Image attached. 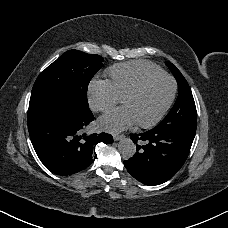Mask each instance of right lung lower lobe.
<instances>
[{
  "label": "right lung lower lobe",
  "instance_id": "98d812e1",
  "mask_svg": "<svg viewBox=\"0 0 228 228\" xmlns=\"http://www.w3.org/2000/svg\"><path fill=\"white\" fill-rule=\"evenodd\" d=\"M28 130L33 147L43 163L57 175H70L87 168L96 144L112 143L107 133L88 134L92 113L77 115L60 104L28 110Z\"/></svg>",
  "mask_w": 228,
  "mask_h": 228
}]
</instances>
